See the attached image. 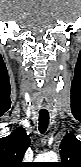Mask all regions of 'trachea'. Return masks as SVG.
Here are the masks:
<instances>
[{"label": "trachea", "mask_w": 81, "mask_h": 167, "mask_svg": "<svg viewBox=\"0 0 81 167\" xmlns=\"http://www.w3.org/2000/svg\"><path fill=\"white\" fill-rule=\"evenodd\" d=\"M49 124V113L47 111L39 112V131L41 134L45 133Z\"/></svg>", "instance_id": "1"}]
</instances>
